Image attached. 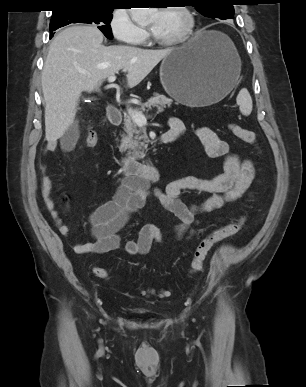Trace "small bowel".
I'll return each mask as SVG.
<instances>
[{
	"label": "small bowel",
	"mask_w": 306,
	"mask_h": 387,
	"mask_svg": "<svg viewBox=\"0 0 306 387\" xmlns=\"http://www.w3.org/2000/svg\"><path fill=\"white\" fill-rule=\"evenodd\" d=\"M168 133L181 137L185 132L184 123L176 117L168 121ZM195 135L201 141L206 154L210 158H223L222 173L212 178H201L193 175L184 176L169 182L163 189L150 188L146 181L125 179L119 185L114 197L94 209L88 216L91 227L92 241L76 244L73 251L77 254H102L120 248V231L129 218L145 204L149 196L155 197L161 205L175 217L179 223L175 228L178 239L189 238L194 234L197 225V215L222 208L225 204L234 202L247 193L255 178V168L249 159H241L230 151L229 145L222 140L212 129L198 127ZM78 139V129L72 125L60 140L63 152L73 150ZM57 144L48 141L44 153H55ZM44 176L41 183V192L45 206L50 212L58 231L61 234L68 232V227L56 210L52 197V180L43 169ZM184 192L204 193L209 196L201 204H187L181 199ZM164 244L162 232L155 224H145L138 232L136 239L128 240L124 250L128 255H146L152 245Z\"/></svg>",
	"instance_id": "c3829d8e"
}]
</instances>
